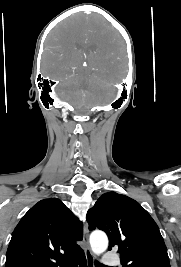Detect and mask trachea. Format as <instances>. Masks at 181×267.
I'll return each mask as SVG.
<instances>
[{
    "label": "trachea",
    "mask_w": 181,
    "mask_h": 267,
    "mask_svg": "<svg viewBox=\"0 0 181 267\" xmlns=\"http://www.w3.org/2000/svg\"><path fill=\"white\" fill-rule=\"evenodd\" d=\"M95 266H96V267H107V266L101 264V263L98 262V261H95Z\"/></svg>",
    "instance_id": "1"
}]
</instances>
